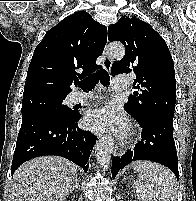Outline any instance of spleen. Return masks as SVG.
<instances>
[{
	"label": "spleen",
	"instance_id": "3e777b00",
	"mask_svg": "<svg viewBox=\"0 0 196 201\" xmlns=\"http://www.w3.org/2000/svg\"><path fill=\"white\" fill-rule=\"evenodd\" d=\"M133 169L138 172L134 187L139 201L176 200V178L169 169L149 161L135 162Z\"/></svg>",
	"mask_w": 196,
	"mask_h": 201
}]
</instances>
